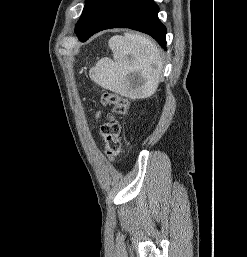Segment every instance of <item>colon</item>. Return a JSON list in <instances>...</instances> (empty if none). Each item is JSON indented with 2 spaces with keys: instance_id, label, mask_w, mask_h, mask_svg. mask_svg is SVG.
I'll return each mask as SVG.
<instances>
[{
  "instance_id": "obj_1",
  "label": "colon",
  "mask_w": 247,
  "mask_h": 257,
  "mask_svg": "<svg viewBox=\"0 0 247 257\" xmlns=\"http://www.w3.org/2000/svg\"><path fill=\"white\" fill-rule=\"evenodd\" d=\"M102 103L112 106L111 113L100 130L104 138L105 153L110 160H114L121 152L119 119L127 113L128 100L118 94L105 93Z\"/></svg>"
}]
</instances>
